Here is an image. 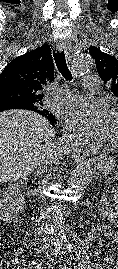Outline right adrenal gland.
<instances>
[{
	"mask_svg": "<svg viewBox=\"0 0 118 269\" xmlns=\"http://www.w3.org/2000/svg\"><path fill=\"white\" fill-rule=\"evenodd\" d=\"M35 174L39 177L41 175V168H38Z\"/></svg>",
	"mask_w": 118,
	"mask_h": 269,
	"instance_id": "obj_1",
	"label": "right adrenal gland"
}]
</instances>
